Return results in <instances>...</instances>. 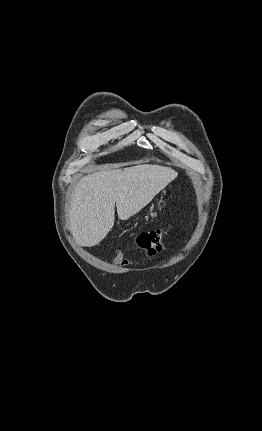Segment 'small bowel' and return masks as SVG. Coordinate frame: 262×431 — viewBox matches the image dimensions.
Listing matches in <instances>:
<instances>
[{
	"label": "small bowel",
	"instance_id": "obj_1",
	"mask_svg": "<svg viewBox=\"0 0 262 431\" xmlns=\"http://www.w3.org/2000/svg\"><path fill=\"white\" fill-rule=\"evenodd\" d=\"M119 264H120V265H125V263H123V262H120Z\"/></svg>",
	"mask_w": 262,
	"mask_h": 431
}]
</instances>
